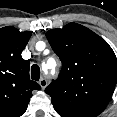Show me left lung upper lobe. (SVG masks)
Instances as JSON below:
<instances>
[{
  "instance_id": "5c2ea615",
  "label": "left lung upper lobe",
  "mask_w": 117,
  "mask_h": 117,
  "mask_svg": "<svg viewBox=\"0 0 117 117\" xmlns=\"http://www.w3.org/2000/svg\"><path fill=\"white\" fill-rule=\"evenodd\" d=\"M62 70L45 91L62 117H97L109 103L117 81V60L109 44L90 29L69 23L47 31Z\"/></svg>"
}]
</instances>
